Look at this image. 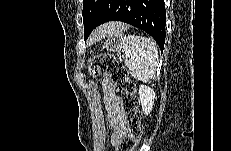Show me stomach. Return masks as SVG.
I'll return each mask as SVG.
<instances>
[{
	"label": "stomach",
	"instance_id": "stomach-1",
	"mask_svg": "<svg viewBox=\"0 0 231 151\" xmlns=\"http://www.w3.org/2000/svg\"><path fill=\"white\" fill-rule=\"evenodd\" d=\"M125 38L121 33L110 34L104 43L103 48L113 53H120L124 50Z\"/></svg>",
	"mask_w": 231,
	"mask_h": 151
}]
</instances>
